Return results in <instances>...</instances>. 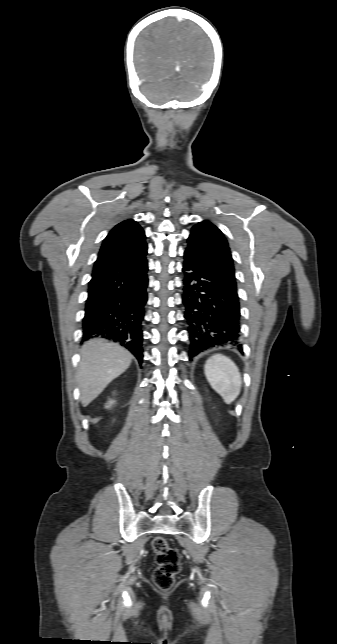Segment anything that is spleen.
Returning a JSON list of instances; mask_svg holds the SVG:
<instances>
[{
    "mask_svg": "<svg viewBox=\"0 0 337 644\" xmlns=\"http://www.w3.org/2000/svg\"><path fill=\"white\" fill-rule=\"evenodd\" d=\"M204 372L211 387L227 404L238 397L242 379L238 367L231 359L215 354L206 361Z\"/></svg>",
    "mask_w": 337,
    "mask_h": 644,
    "instance_id": "obj_1",
    "label": "spleen"
}]
</instances>
